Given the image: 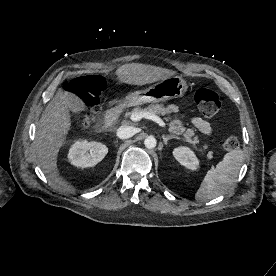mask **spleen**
<instances>
[{"label":"spleen","mask_w":276,"mask_h":276,"mask_svg":"<svg viewBox=\"0 0 276 276\" xmlns=\"http://www.w3.org/2000/svg\"><path fill=\"white\" fill-rule=\"evenodd\" d=\"M243 160L242 150L234 149L226 153L223 160L207 172L195 194V199L206 202L228 190L234 183Z\"/></svg>","instance_id":"spleen-1"}]
</instances>
